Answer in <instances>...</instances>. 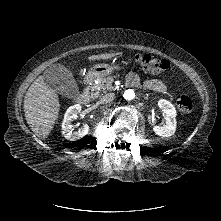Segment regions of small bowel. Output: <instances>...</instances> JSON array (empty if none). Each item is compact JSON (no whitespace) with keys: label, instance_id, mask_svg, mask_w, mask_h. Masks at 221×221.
Segmentation results:
<instances>
[{"label":"small bowel","instance_id":"1","mask_svg":"<svg viewBox=\"0 0 221 221\" xmlns=\"http://www.w3.org/2000/svg\"><path fill=\"white\" fill-rule=\"evenodd\" d=\"M130 81L133 84L139 83L138 77L136 75H132L130 77ZM146 86L149 89L154 90V91H158V92H166L167 91L166 83L163 80L158 79V78L152 79L151 81L147 82Z\"/></svg>","mask_w":221,"mask_h":221}]
</instances>
